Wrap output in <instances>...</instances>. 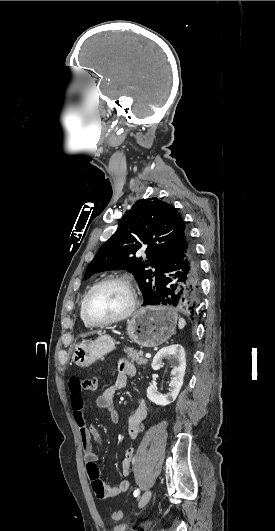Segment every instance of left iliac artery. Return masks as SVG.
Returning a JSON list of instances; mask_svg holds the SVG:
<instances>
[{
  "mask_svg": "<svg viewBox=\"0 0 275 531\" xmlns=\"http://www.w3.org/2000/svg\"><path fill=\"white\" fill-rule=\"evenodd\" d=\"M133 494H134V497H137L140 494V490L136 489Z\"/></svg>",
  "mask_w": 275,
  "mask_h": 531,
  "instance_id": "44dca946",
  "label": "left iliac artery"
}]
</instances>
